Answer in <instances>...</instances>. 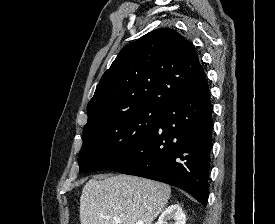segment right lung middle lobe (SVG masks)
<instances>
[{
	"instance_id": "dd1d6c3e",
	"label": "right lung middle lobe",
	"mask_w": 275,
	"mask_h": 224,
	"mask_svg": "<svg viewBox=\"0 0 275 224\" xmlns=\"http://www.w3.org/2000/svg\"><path fill=\"white\" fill-rule=\"evenodd\" d=\"M164 109L144 108L100 121L83 129L78 156L80 173L109 168L146 139Z\"/></svg>"
}]
</instances>
